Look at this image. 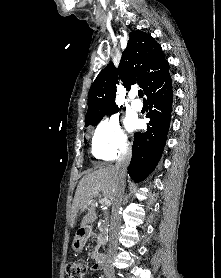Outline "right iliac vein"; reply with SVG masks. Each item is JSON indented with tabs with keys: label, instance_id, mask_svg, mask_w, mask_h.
Listing matches in <instances>:
<instances>
[{
	"label": "right iliac vein",
	"instance_id": "63e3f726",
	"mask_svg": "<svg viewBox=\"0 0 221 278\" xmlns=\"http://www.w3.org/2000/svg\"><path fill=\"white\" fill-rule=\"evenodd\" d=\"M107 278H116V277H115V275L110 274V275H108V277H107Z\"/></svg>",
	"mask_w": 221,
	"mask_h": 278
}]
</instances>
